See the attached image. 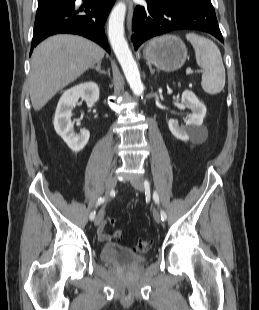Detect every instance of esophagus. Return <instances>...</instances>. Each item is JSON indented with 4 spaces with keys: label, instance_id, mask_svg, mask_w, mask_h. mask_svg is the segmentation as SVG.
<instances>
[{
    "label": "esophagus",
    "instance_id": "1",
    "mask_svg": "<svg viewBox=\"0 0 259 310\" xmlns=\"http://www.w3.org/2000/svg\"><path fill=\"white\" fill-rule=\"evenodd\" d=\"M128 5V28L131 27L132 14H133V2L132 0H126Z\"/></svg>",
    "mask_w": 259,
    "mask_h": 310
}]
</instances>
